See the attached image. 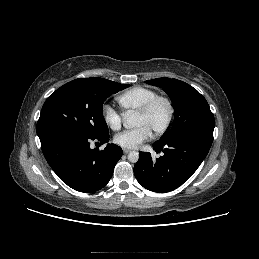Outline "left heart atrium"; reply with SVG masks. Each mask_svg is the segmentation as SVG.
Wrapping results in <instances>:
<instances>
[{"instance_id": "obj_1", "label": "left heart atrium", "mask_w": 259, "mask_h": 259, "mask_svg": "<svg viewBox=\"0 0 259 259\" xmlns=\"http://www.w3.org/2000/svg\"><path fill=\"white\" fill-rule=\"evenodd\" d=\"M151 137L152 131L148 127L138 126L115 135L114 143L125 149H135Z\"/></svg>"}]
</instances>
